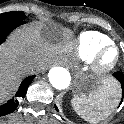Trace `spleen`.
Segmentation results:
<instances>
[{
	"label": "spleen",
	"instance_id": "1",
	"mask_svg": "<svg viewBox=\"0 0 124 124\" xmlns=\"http://www.w3.org/2000/svg\"><path fill=\"white\" fill-rule=\"evenodd\" d=\"M113 83V82H112ZM115 89H110L106 86L105 89L98 91L91 97H74L71 100L72 107L83 119L86 121L97 123L100 120L109 116L114 103L117 102L119 95L118 87L113 83ZM92 120H89L90 116H93Z\"/></svg>",
	"mask_w": 124,
	"mask_h": 124
}]
</instances>
